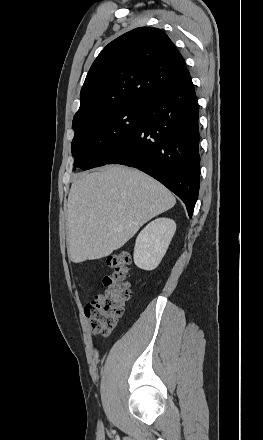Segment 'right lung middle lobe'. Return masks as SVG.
I'll return each mask as SVG.
<instances>
[{"instance_id": "right-lung-middle-lobe-1", "label": "right lung middle lobe", "mask_w": 263, "mask_h": 440, "mask_svg": "<svg viewBox=\"0 0 263 440\" xmlns=\"http://www.w3.org/2000/svg\"><path fill=\"white\" fill-rule=\"evenodd\" d=\"M146 115L145 102H132L94 114L76 127L71 151L74 166L83 170L106 165L116 147L139 126Z\"/></svg>"}]
</instances>
